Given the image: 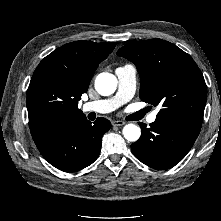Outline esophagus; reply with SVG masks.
<instances>
[{
	"instance_id": "34e87169",
	"label": "esophagus",
	"mask_w": 221,
	"mask_h": 221,
	"mask_svg": "<svg viewBox=\"0 0 221 221\" xmlns=\"http://www.w3.org/2000/svg\"><path fill=\"white\" fill-rule=\"evenodd\" d=\"M112 125L113 126H123V125H125V122L121 121V120H114V121H112Z\"/></svg>"
}]
</instances>
